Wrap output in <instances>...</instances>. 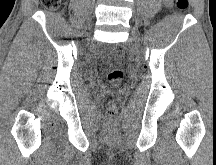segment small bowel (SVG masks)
Segmentation results:
<instances>
[{
    "mask_svg": "<svg viewBox=\"0 0 216 165\" xmlns=\"http://www.w3.org/2000/svg\"><path fill=\"white\" fill-rule=\"evenodd\" d=\"M163 2H164V4H165L167 7H169V6L172 5L173 0H163Z\"/></svg>",
    "mask_w": 216,
    "mask_h": 165,
    "instance_id": "1",
    "label": "small bowel"
}]
</instances>
